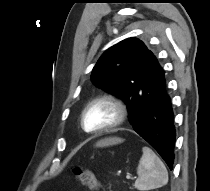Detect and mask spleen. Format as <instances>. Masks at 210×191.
<instances>
[{"label": "spleen", "mask_w": 210, "mask_h": 191, "mask_svg": "<svg viewBox=\"0 0 210 191\" xmlns=\"http://www.w3.org/2000/svg\"><path fill=\"white\" fill-rule=\"evenodd\" d=\"M134 187L140 191L160 188L168 182V172L161 159L148 147L142 148Z\"/></svg>", "instance_id": "obj_1"}]
</instances>
